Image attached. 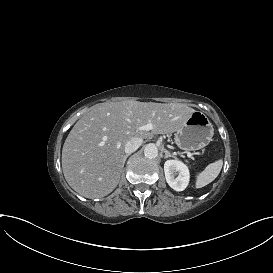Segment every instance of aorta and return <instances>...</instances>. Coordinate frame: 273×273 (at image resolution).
<instances>
[{
    "label": "aorta",
    "mask_w": 273,
    "mask_h": 273,
    "mask_svg": "<svg viewBox=\"0 0 273 273\" xmlns=\"http://www.w3.org/2000/svg\"><path fill=\"white\" fill-rule=\"evenodd\" d=\"M144 154L147 158L154 159L158 155V148L153 143L147 144L144 148Z\"/></svg>",
    "instance_id": "aorta-1"
}]
</instances>
